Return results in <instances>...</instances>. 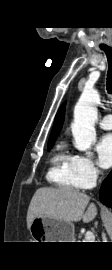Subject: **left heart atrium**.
Returning <instances> with one entry per match:
<instances>
[{
	"mask_svg": "<svg viewBox=\"0 0 112 270\" xmlns=\"http://www.w3.org/2000/svg\"><path fill=\"white\" fill-rule=\"evenodd\" d=\"M99 164L103 168L112 166V134L105 135L96 147Z\"/></svg>",
	"mask_w": 112,
	"mask_h": 270,
	"instance_id": "left-heart-atrium-1",
	"label": "left heart atrium"
}]
</instances>
